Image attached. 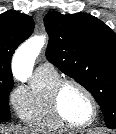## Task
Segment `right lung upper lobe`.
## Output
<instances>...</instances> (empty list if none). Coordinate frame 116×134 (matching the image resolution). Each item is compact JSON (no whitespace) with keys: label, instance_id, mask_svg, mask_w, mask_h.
<instances>
[{"label":"right lung upper lobe","instance_id":"cb5924a9","mask_svg":"<svg viewBox=\"0 0 116 134\" xmlns=\"http://www.w3.org/2000/svg\"><path fill=\"white\" fill-rule=\"evenodd\" d=\"M34 30L33 18L8 10L0 15V81H13L11 58Z\"/></svg>","mask_w":116,"mask_h":134}]
</instances>
